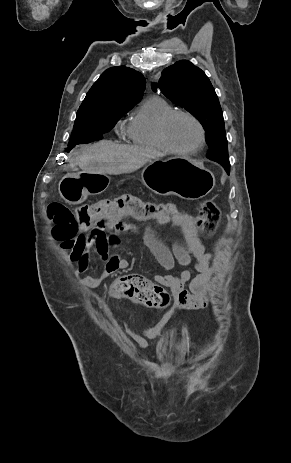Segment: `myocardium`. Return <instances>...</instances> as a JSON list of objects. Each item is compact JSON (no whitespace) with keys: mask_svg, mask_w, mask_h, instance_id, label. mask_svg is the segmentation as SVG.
I'll return each mask as SVG.
<instances>
[{"mask_svg":"<svg viewBox=\"0 0 291 463\" xmlns=\"http://www.w3.org/2000/svg\"><path fill=\"white\" fill-rule=\"evenodd\" d=\"M177 117H186L190 120H192L198 127L199 132H200V138L199 142L197 143L196 146L189 148V149H181L175 147L171 141L169 140L168 137V127L170 123ZM158 135L160 138V141L164 148L173 154H178V155H190L199 152L205 145L206 142V130L202 122L193 114L185 111H174L170 114H168L160 123L159 129H158Z\"/></svg>","mask_w":291,"mask_h":463,"instance_id":"myocardium-1","label":"myocardium"}]
</instances>
